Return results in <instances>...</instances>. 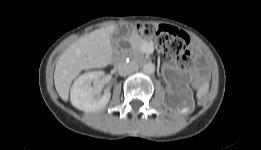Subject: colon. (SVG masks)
<instances>
[{
    "mask_svg": "<svg viewBox=\"0 0 261 150\" xmlns=\"http://www.w3.org/2000/svg\"><path fill=\"white\" fill-rule=\"evenodd\" d=\"M135 29L144 37L155 40L158 48L168 55L173 64L186 69L191 64V55L187 49L188 35L172 26L153 25L148 23L138 24Z\"/></svg>",
    "mask_w": 261,
    "mask_h": 150,
    "instance_id": "colon-1",
    "label": "colon"
}]
</instances>
